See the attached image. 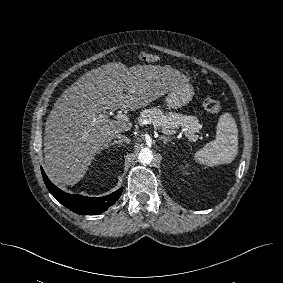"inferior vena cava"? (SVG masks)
Listing matches in <instances>:
<instances>
[{"label": "inferior vena cava", "instance_id": "602c4592", "mask_svg": "<svg viewBox=\"0 0 283 283\" xmlns=\"http://www.w3.org/2000/svg\"><path fill=\"white\" fill-rule=\"evenodd\" d=\"M115 138H117L118 140H120L121 142H126V143H130V139L126 136H123L121 134H116Z\"/></svg>", "mask_w": 283, "mask_h": 283}]
</instances>
